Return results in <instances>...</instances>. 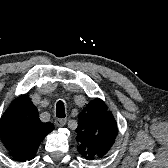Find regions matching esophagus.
I'll return each instance as SVG.
<instances>
[{"label": "esophagus", "instance_id": "1", "mask_svg": "<svg viewBox=\"0 0 168 168\" xmlns=\"http://www.w3.org/2000/svg\"><path fill=\"white\" fill-rule=\"evenodd\" d=\"M66 122H67V119L61 118V119H57V120L55 121V124H56L57 126H64V125L66 124Z\"/></svg>", "mask_w": 168, "mask_h": 168}]
</instances>
